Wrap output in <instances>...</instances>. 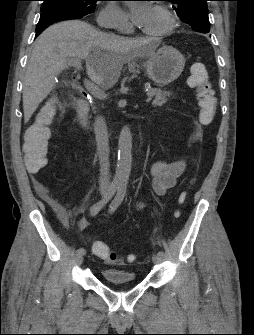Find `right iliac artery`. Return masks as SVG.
<instances>
[{
	"instance_id": "1",
	"label": "right iliac artery",
	"mask_w": 254,
	"mask_h": 335,
	"mask_svg": "<svg viewBox=\"0 0 254 335\" xmlns=\"http://www.w3.org/2000/svg\"><path fill=\"white\" fill-rule=\"evenodd\" d=\"M118 185L112 184L104 198H102L100 201L96 202L94 205L90 208V214L92 216L97 215V213L111 200V198L114 196L115 192L117 191ZM77 254L84 255L86 253L84 248H79L76 251Z\"/></svg>"
}]
</instances>
